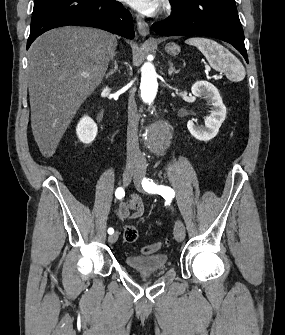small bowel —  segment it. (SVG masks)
Instances as JSON below:
<instances>
[{
  "label": "small bowel",
  "mask_w": 285,
  "mask_h": 335,
  "mask_svg": "<svg viewBox=\"0 0 285 335\" xmlns=\"http://www.w3.org/2000/svg\"><path fill=\"white\" fill-rule=\"evenodd\" d=\"M145 214V205L137 194H132L128 202L120 201L115 208L118 220L140 219Z\"/></svg>",
  "instance_id": "obj_1"
}]
</instances>
